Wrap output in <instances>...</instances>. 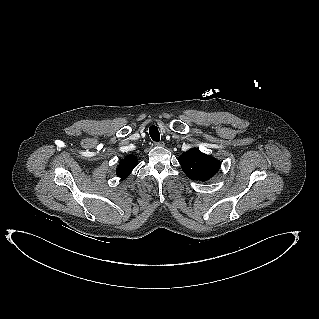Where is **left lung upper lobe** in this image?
<instances>
[{"instance_id": "left-lung-upper-lobe-1", "label": "left lung upper lobe", "mask_w": 319, "mask_h": 319, "mask_svg": "<svg viewBox=\"0 0 319 319\" xmlns=\"http://www.w3.org/2000/svg\"><path fill=\"white\" fill-rule=\"evenodd\" d=\"M180 165L185 174L193 180L207 181L220 168V162L198 149H190L179 157Z\"/></svg>"}]
</instances>
